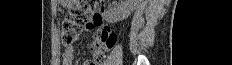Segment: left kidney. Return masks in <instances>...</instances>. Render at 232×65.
Segmentation results:
<instances>
[{"label":"left kidney","instance_id":"1","mask_svg":"<svg viewBox=\"0 0 232 65\" xmlns=\"http://www.w3.org/2000/svg\"><path fill=\"white\" fill-rule=\"evenodd\" d=\"M139 0H120L114 8L107 13L108 22L114 23L126 19L136 9Z\"/></svg>","mask_w":232,"mask_h":65}]
</instances>
